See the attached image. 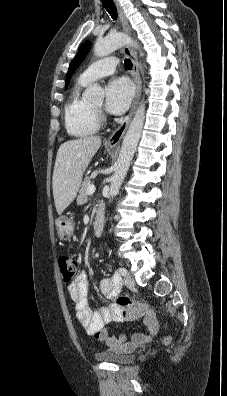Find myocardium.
Returning <instances> with one entry per match:
<instances>
[{"mask_svg":"<svg viewBox=\"0 0 227 396\" xmlns=\"http://www.w3.org/2000/svg\"><path fill=\"white\" fill-rule=\"evenodd\" d=\"M97 114H99V108L94 107Z\"/></svg>","mask_w":227,"mask_h":396,"instance_id":"f54148a6","label":"myocardium"}]
</instances>
